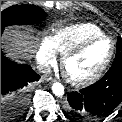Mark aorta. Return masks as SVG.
Segmentation results:
<instances>
[{
	"label": "aorta",
	"mask_w": 122,
	"mask_h": 122,
	"mask_svg": "<svg viewBox=\"0 0 122 122\" xmlns=\"http://www.w3.org/2000/svg\"><path fill=\"white\" fill-rule=\"evenodd\" d=\"M52 92L55 96H63L64 95V86L61 83L55 82L52 85Z\"/></svg>",
	"instance_id": "762f6f07"
}]
</instances>
